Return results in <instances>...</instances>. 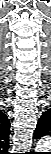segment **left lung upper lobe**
I'll list each match as a JSON object with an SVG mask.
<instances>
[{
  "mask_svg": "<svg viewBox=\"0 0 51 154\" xmlns=\"http://www.w3.org/2000/svg\"><path fill=\"white\" fill-rule=\"evenodd\" d=\"M45 118L42 116L40 119H39V122H38V125H37V128H36V130H35V137L37 138V139H40V137H42L43 135H44V130H43V124H44V122H43V120H44Z\"/></svg>",
  "mask_w": 51,
  "mask_h": 154,
  "instance_id": "1",
  "label": "left lung upper lobe"
}]
</instances>
